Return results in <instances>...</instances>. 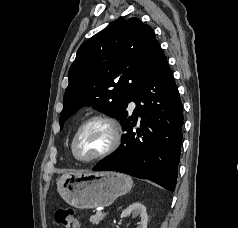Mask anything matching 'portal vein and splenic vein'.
<instances>
[{
    "label": "portal vein and splenic vein",
    "mask_w": 238,
    "mask_h": 228,
    "mask_svg": "<svg viewBox=\"0 0 238 228\" xmlns=\"http://www.w3.org/2000/svg\"><path fill=\"white\" fill-rule=\"evenodd\" d=\"M96 214L99 215V216H101V215H103L104 213H103L102 211H97Z\"/></svg>",
    "instance_id": "portal-vein-and-splenic-vein-1"
}]
</instances>
